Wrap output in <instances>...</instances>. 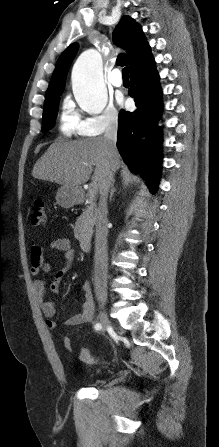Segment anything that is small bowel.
I'll return each instance as SVG.
<instances>
[{
  "mask_svg": "<svg viewBox=\"0 0 219 447\" xmlns=\"http://www.w3.org/2000/svg\"><path fill=\"white\" fill-rule=\"evenodd\" d=\"M51 247L59 252L65 254L66 264L62 268L54 271L52 281L47 284L42 278H35L33 281L34 294L38 300L41 310L45 316L46 326L54 330L60 323L56 321V305L53 301L45 300V296L48 292L57 293L59 291L60 284L65 276L72 270L73 260L75 256L74 250L71 248V242L68 238H59L52 242ZM31 272L34 276H39L43 273H50L54 270V266L46 261L44 257V248L41 244H35L31 249ZM81 292L83 293V306L82 312L68 318L62 324L65 326H78L85 323H90L94 319L95 304L91 293V286L89 282H84L81 285ZM71 344V340L65 337L63 340L66 348V342ZM86 350L83 349L79 353V359L84 361L83 353Z\"/></svg>",
  "mask_w": 219,
  "mask_h": 447,
  "instance_id": "c3829d8e",
  "label": "small bowel"
}]
</instances>
